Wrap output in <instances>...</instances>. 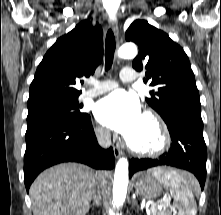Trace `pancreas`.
Wrapping results in <instances>:
<instances>
[{
    "label": "pancreas",
    "instance_id": "1",
    "mask_svg": "<svg viewBox=\"0 0 221 215\" xmlns=\"http://www.w3.org/2000/svg\"><path fill=\"white\" fill-rule=\"evenodd\" d=\"M152 215H171V212L168 210H159L157 208L151 209Z\"/></svg>",
    "mask_w": 221,
    "mask_h": 215
}]
</instances>
